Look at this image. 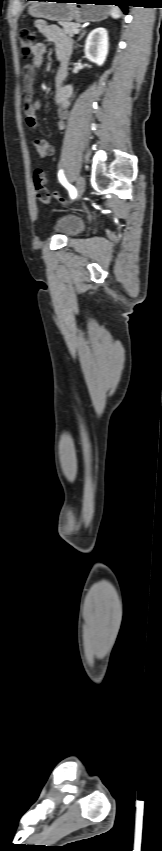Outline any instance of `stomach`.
I'll list each match as a JSON object with an SVG mask.
<instances>
[{
	"label": "stomach",
	"instance_id": "stomach-1",
	"mask_svg": "<svg viewBox=\"0 0 162 851\" xmlns=\"http://www.w3.org/2000/svg\"><path fill=\"white\" fill-rule=\"evenodd\" d=\"M48 1L33 2L28 8L29 15L36 18H45L51 21L70 22L74 20L78 23H84L88 21L95 22L104 20L111 13L110 6L100 5L101 3H98V1Z\"/></svg>",
	"mask_w": 162,
	"mask_h": 851
}]
</instances>
